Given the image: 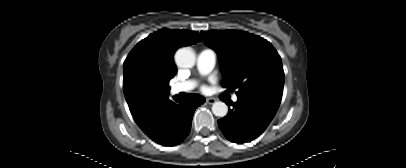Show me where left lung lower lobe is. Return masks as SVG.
Masks as SVG:
<instances>
[{"label":"left lung lower lobe","mask_w":406,"mask_h":168,"mask_svg":"<svg viewBox=\"0 0 406 168\" xmlns=\"http://www.w3.org/2000/svg\"><path fill=\"white\" fill-rule=\"evenodd\" d=\"M227 116L218 121L222 133L232 142L244 143L257 138L267 128L280 102L261 97H238Z\"/></svg>","instance_id":"left-lung-lower-lobe-1"}]
</instances>
